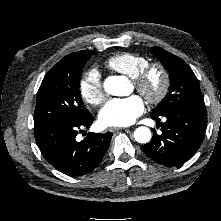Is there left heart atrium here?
Returning a JSON list of instances; mask_svg holds the SVG:
<instances>
[{"instance_id": "obj_1", "label": "left heart atrium", "mask_w": 221, "mask_h": 221, "mask_svg": "<svg viewBox=\"0 0 221 221\" xmlns=\"http://www.w3.org/2000/svg\"><path fill=\"white\" fill-rule=\"evenodd\" d=\"M145 104L138 95L109 100L99 112V121L107 127L128 126L143 114Z\"/></svg>"}]
</instances>
